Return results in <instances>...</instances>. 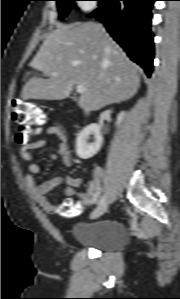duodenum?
<instances>
[{
	"label": "duodenum",
	"instance_id": "duodenum-1",
	"mask_svg": "<svg viewBox=\"0 0 180 299\" xmlns=\"http://www.w3.org/2000/svg\"><path fill=\"white\" fill-rule=\"evenodd\" d=\"M88 114H89V111L87 110L84 114V117L86 118L88 116Z\"/></svg>",
	"mask_w": 180,
	"mask_h": 299
}]
</instances>
